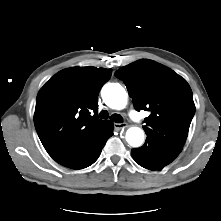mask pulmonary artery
I'll return each instance as SVG.
<instances>
[{
  "mask_svg": "<svg viewBox=\"0 0 221 221\" xmlns=\"http://www.w3.org/2000/svg\"><path fill=\"white\" fill-rule=\"evenodd\" d=\"M129 116H130L132 119H134V120H139V117H138L137 113H136L134 110H131V111L129 112Z\"/></svg>",
  "mask_w": 221,
  "mask_h": 221,
  "instance_id": "obj_1",
  "label": "pulmonary artery"
}]
</instances>
